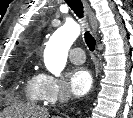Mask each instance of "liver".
Listing matches in <instances>:
<instances>
[{"instance_id":"obj_1","label":"liver","mask_w":133,"mask_h":118,"mask_svg":"<svg viewBox=\"0 0 133 118\" xmlns=\"http://www.w3.org/2000/svg\"><path fill=\"white\" fill-rule=\"evenodd\" d=\"M2 116L5 118H49V113L44 107L20 104L7 108Z\"/></svg>"}]
</instances>
